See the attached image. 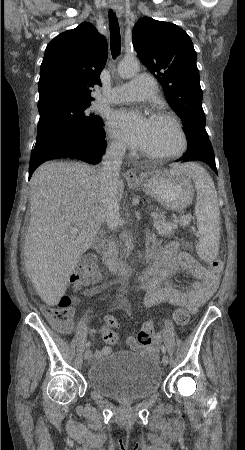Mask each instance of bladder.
I'll return each mask as SVG.
<instances>
[{"label": "bladder", "mask_w": 245, "mask_h": 450, "mask_svg": "<svg viewBox=\"0 0 245 450\" xmlns=\"http://www.w3.org/2000/svg\"><path fill=\"white\" fill-rule=\"evenodd\" d=\"M162 381L161 368L154 360L124 350L93 360L87 374L91 390L123 402L150 397L160 389Z\"/></svg>", "instance_id": "1"}]
</instances>
